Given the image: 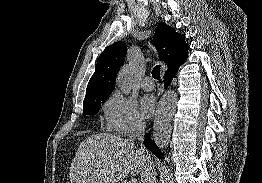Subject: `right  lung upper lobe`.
<instances>
[{
    "label": "right lung upper lobe",
    "instance_id": "right-lung-upper-lobe-1",
    "mask_svg": "<svg viewBox=\"0 0 262 183\" xmlns=\"http://www.w3.org/2000/svg\"><path fill=\"white\" fill-rule=\"evenodd\" d=\"M152 42L160 59L168 67L165 73L177 71L188 57L189 46L185 42V36L166 23L158 24ZM126 52L127 45L124 42H116L105 48L87 86L84 102L109 97L115 88L116 76L124 63Z\"/></svg>",
    "mask_w": 262,
    "mask_h": 183
}]
</instances>
